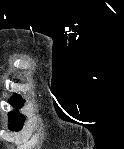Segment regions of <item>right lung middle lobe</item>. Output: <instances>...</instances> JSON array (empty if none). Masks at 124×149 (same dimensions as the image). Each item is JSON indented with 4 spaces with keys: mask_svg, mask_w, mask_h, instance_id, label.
Segmentation results:
<instances>
[{
    "mask_svg": "<svg viewBox=\"0 0 124 149\" xmlns=\"http://www.w3.org/2000/svg\"><path fill=\"white\" fill-rule=\"evenodd\" d=\"M10 103L13 107L20 108L23 105L24 101L18 95H15L10 99ZM24 120V115H22L18 111L9 112V126L12 130L17 131L21 129Z\"/></svg>",
    "mask_w": 124,
    "mask_h": 149,
    "instance_id": "1",
    "label": "right lung middle lobe"
}]
</instances>
